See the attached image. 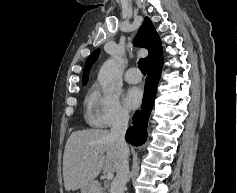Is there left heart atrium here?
I'll use <instances>...</instances> for the list:
<instances>
[{
    "mask_svg": "<svg viewBox=\"0 0 237 193\" xmlns=\"http://www.w3.org/2000/svg\"><path fill=\"white\" fill-rule=\"evenodd\" d=\"M142 102V91L139 88H130L125 94V103L131 109L140 106Z\"/></svg>",
    "mask_w": 237,
    "mask_h": 193,
    "instance_id": "1",
    "label": "left heart atrium"
}]
</instances>
